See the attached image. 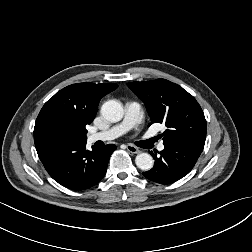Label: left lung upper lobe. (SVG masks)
<instances>
[{
  "mask_svg": "<svg viewBox=\"0 0 252 252\" xmlns=\"http://www.w3.org/2000/svg\"><path fill=\"white\" fill-rule=\"evenodd\" d=\"M127 86L145 103L150 124H165L166 130L161 134L164 146L186 144L204 148L206 120L191 94L165 79L131 82Z\"/></svg>",
  "mask_w": 252,
  "mask_h": 252,
  "instance_id": "5c2ea615",
  "label": "left lung upper lobe"
}]
</instances>
